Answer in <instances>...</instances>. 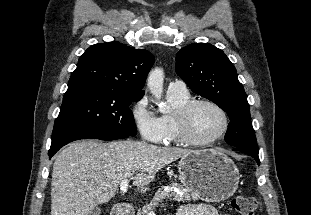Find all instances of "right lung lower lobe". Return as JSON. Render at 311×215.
I'll use <instances>...</instances> for the list:
<instances>
[{
	"instance_id": "right-lung-lower-lobe-1",
	"label": "right lung lower lobe",
	"mask_w": 311,
	"mask_h": 215,
	"mask_svg": "<svg viewBox=\"0 0 311 215\" xmlns=\"http://www.w3.org/2000/svg\"><path fill=\"white\" fill-rule=\"evenodd\" d=\"M131 135L125 133H81L70 136L61 137L52 140L51 147L49 150V158H51L61 147L64 145L80 139L93 138L100 140H116L127 138Z\"/></svg>"
}]
</instances>
